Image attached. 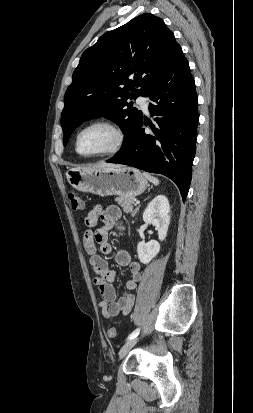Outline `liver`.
I'll list each match as a JSON object with an SVG mask.
<instances>
[{
  "instance_id": "obj_1",
  "label": "liver",
  "mask_w": 253,
  "mask_h": 413,
  "mask_svg": "<svg viewBox=\"0 0 253 413\" xmlns=\"http://www.w3.org/2000/svg\"><path fill=\"white\" fill-rule=\"evenodd\" d=\"M120 166L122 165L102 162L88 168H115Z\"/></svg>"
}]
</instances>
